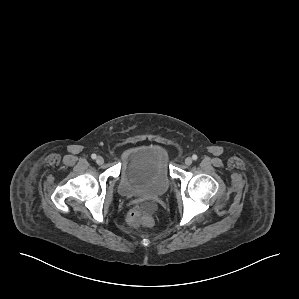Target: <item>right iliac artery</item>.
I'll return each mask as SVG.
<instances>
[{
    "label": "right iliac artery",
    "instance_id": "right-iliac-artery-1",
    "mask_svg": "<svg viewBox=\"0 0 299 299\" xmlns=\"http://www.w3.org/2000/svg\"><path fill=\"white\" fill-rule=\"evenodd\" d=\"M96 157H97L96 154H92V155H91V158H92V159H96Z\"/></svg>",
    "mask_w": 299,
    "mask_h": 299
}]
</instances>
